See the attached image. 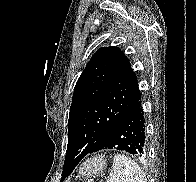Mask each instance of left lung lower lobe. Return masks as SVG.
Segmentation results:
<instances>
[{
    "mask_svg": "<svg viewBox=\"0 0 196 182\" xmlns=\"http://www.w3.org/2000/svg\"><path fill=\"white\" fill-rule=\"evenodd\" d=\"M145 132V118L140 95L139 98L117 120L110 132L93 152L105 149H116L128 152L136 157H142L146 152ZM80 150L81 149L78 147L70 149L65 161L68 163L70 161H75V164H78L88 153Z\"/></svg>",
    "mask_w": 196,
    "mask_h": 182,
    "instance_id": "1",
    "label": "left lung lower lobe"
}]
</instances>
